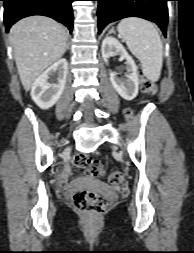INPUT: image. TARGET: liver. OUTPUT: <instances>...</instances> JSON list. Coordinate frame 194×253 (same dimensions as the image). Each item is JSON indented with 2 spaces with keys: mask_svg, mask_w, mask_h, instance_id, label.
Segmentation results:
<instances>
[{
  "mask_svg": "<svg viewBox=\"0 0 194 253\" xmlns=\"http://www.w3.org/2000/svg\"><path fill=\"white\" fill-rule=\"evenodd\" d=\"M67 38L63 25L44 16L27 17L12 26L9 40L26 91L46 68L64 54Z\"/></svg>",
  "mask_w": 194,
  "mask_h": 253,
  "instance_id": "liver-1",
  "label": "liver"
}]
</instances>
